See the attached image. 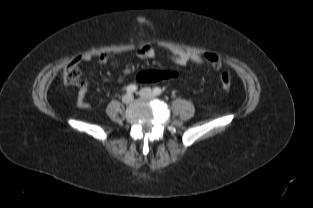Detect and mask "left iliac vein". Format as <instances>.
<instances>
[{
  "mask_svg": "<svg viewBox=\"0 0 313 208\" xmlns=\"http://www.w3.org/2000/svg\"><path fill=\"white\" fill-rule=\"evenodd\" d=\"M139 95L144 98H154L155 94L150 88H144L139 91Z\"/></svg>",
  "mask_w": 313,
  "mask_h": 208,
  "instance_id": "left-iliac-vein-1",
  "label": "left iliac vein"
}]
</instances>
